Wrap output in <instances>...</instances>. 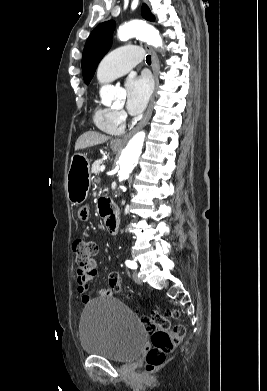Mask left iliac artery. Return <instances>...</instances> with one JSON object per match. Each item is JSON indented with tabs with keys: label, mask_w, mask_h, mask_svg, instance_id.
Returning a JSON list of instances; mask_svg holds the SVG:
<instances>
[{
	"label": "left iliac artery",
	"mask_w": 267,
	"mask_h": 391,
	"mask_svg": "<svg viewBox=\"0 0 267 391\" xmlns=\"http://www.w3.org/2000/svg\"><path fill=\"white\" fill-rule=\"evenodd\" d=\"M126 265H127L129 268H131V269H136V268H137V264H136V262H134V261L127 260V261H126Z\"/></svg>",
	"instance_id": "left-iliac-artery-1"
}]
</instances>
